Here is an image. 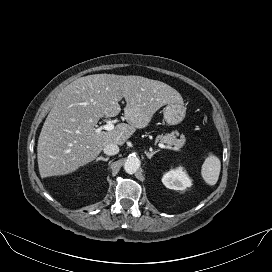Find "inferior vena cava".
Instances as JSON below:
<instances>
[{"label": "inferior vena cava", "instance_id": "1", "mask_svg": "<svg viewBox=\"0 0 272 272\" xmlns=\"http://www.w3.org/2000/svg\"><path fill=\"white\" fill-rule=\"evenodd\" d=\"M103 151L106 155L113 156L118 154L119 147L116 144L110 143L104 147Z\"/></svg>", "mask_w": 272, "mask_h": 272}]
</instances>
